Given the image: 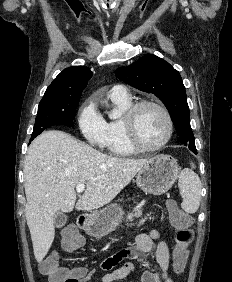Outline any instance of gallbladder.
Instances as JSON below:
<instances>
[{"label": "gallbladder", "mask_w": 232, "mask_h": 282, "mask_svg": "<svg viewBox=\"0 0 232 282\" xmlns=\"http://www.w3.org/2000/svg\"><path fill=\"white\" fill-rule=\"evenodd\" d=\"M67 222V215L63 211H57L54 215V225L56 227H62Z\"/></svg>", "instance_id": "gallbladder-1"}]
</instances>
